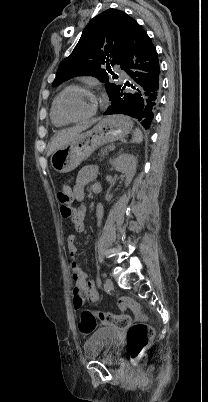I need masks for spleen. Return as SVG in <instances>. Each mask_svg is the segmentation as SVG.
<instances>
[{"label": "spleen", "mask_w": 208, "mask_h": 402, "mask_svg": "<svg viewBox=\"0 0 208 402\" xmlns=\"http://www.w3.org/2000/svg\"><path fill=\"white\" fill-rule=\"evenodd\" d=\"M143 140V134L141 132V130H139V128H136V130H134L133 132V144H135V142H137V144H140V142H142Z\"/></svg>", "instance_id": "spleen-1"}]
</instances>
